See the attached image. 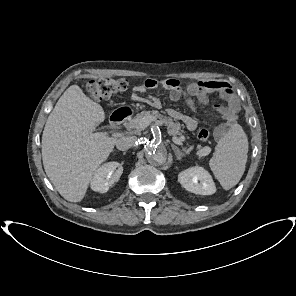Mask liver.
Returning a JSON list of instances; mask_svg holds the SVG:
<instances>
[{
	"label": "liver",
	"instance_id": "liver-1",
	"mask_svg": "<svg viewBox=\"0 0 296 296\" xmlns=\"http://www.w3.org/2000/svg\"><path fill=\"white\" fill-rule=\"evenodd\" d=\"M105 120L103 108L71 85L50 113L42 135L45 172L60 195L80 202L95 171L113 151L116 139L93 136Z\"/></svg>",
	"mask_w": 296,
	"mask_h": 296
}]
</instances>
